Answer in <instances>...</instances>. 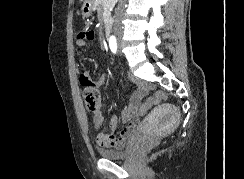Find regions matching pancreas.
Segmentation results:
<instances>
[{
    "mask_svg": "<svg viewBox=\"0 0 244 179\" xmlns=\"http://www.w3.org/2000/svg\"><path fill=\"white\" fill-rule=\"evenodd\" d=\"M107 2L108 0H97V4H99V6H101V8H107ZM106 14V12H105Z\"/></svg>",
    "mask_w": 244,
    "mask_h": 179,
    "instance_id": "pancreas-1",
    "label": "pancreas"
}]
</instances>
